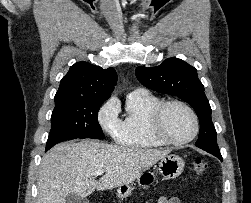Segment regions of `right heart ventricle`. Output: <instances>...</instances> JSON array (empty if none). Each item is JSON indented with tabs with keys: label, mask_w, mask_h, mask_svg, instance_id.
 Wrapping results in <instances>:
<instances>
[{
	"label": "right heart ventricle",
	"mask_w": 251,
	"mask_h": 203,
	"mask_svg": "<svg viewBox=\"0 0 251 203\" xmlns=\"http://www.w3.org/2000/svg\"><path fill=\"white\" fill-rule=\"evenodd\" d=\"M161 100L151 94L129 95L127 112L121 121L119 131L115 135L116 142L127 148L150 149L163 145L149 131V116L152 109Z\"/></svg>",
	"instance_id": "1"
}]
</instances>
